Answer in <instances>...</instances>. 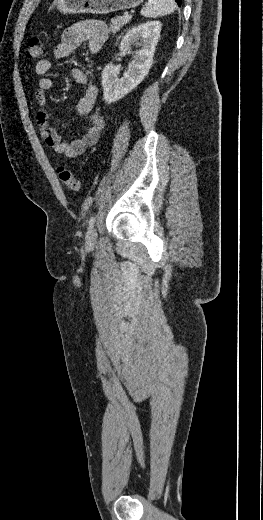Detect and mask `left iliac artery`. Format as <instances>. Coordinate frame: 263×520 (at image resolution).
Instances as JSON below:
<instances>
[{"label": "left iliac artery", "mask_w": 263, "mask_h": 520, "mask_svg": "<svg viewBox=\"0 0 263 520\" xmlns=\"http://www.w3.org/2000/svg\"><path fill=\"white\" fill-rule=\"evenodd\" d=\"M94 223H95V217L92 216L89 220V228L88 229H92L93 226H94Z\"/></svg>", "instance_id": "obj_1"}]
</instances>
